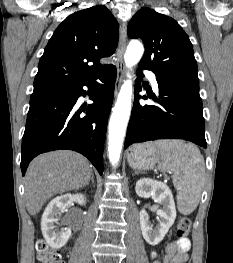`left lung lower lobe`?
<instances>
[{
    "label": "left lung lower lobe",
    "instance_id": "1",
    "mask_svg": "<svg viewBox=\"0 0 233 263\" xmlns=\"http://www.w3.org/2000/svg\"><path fill=\"white\" fill-rule=\"evenodd\" d=\"M139 66L135 86V99L125 139L126 149L137 142L156 139H184L206 148L205 125L199 85L194 83L163 80L157 77L159 98L148 96L159 106L140 105L139 82L143 73Z\"/></svg>",
    "mask_w": 233,
    "mask_h": 263
}]
</instances>
